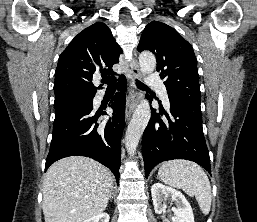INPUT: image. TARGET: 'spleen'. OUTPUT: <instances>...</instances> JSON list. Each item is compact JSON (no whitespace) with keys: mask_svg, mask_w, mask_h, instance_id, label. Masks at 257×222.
<instances>
[{"mask_svg":"<svg viewBox=\"0 0 257 222\" xmlns=\"http://www.w3.org/2000/svg\"><path fill=\"white\" fill-rule=\"evenodd\" d=\"M159 178L167 185L195 196L204 215L211 209L212 193L209 179L196 163L185 160L167 161L158 170Z\"/></svg>","mask_w":257,"mask_h":222,"instance_id":"1","label":"spleen"}]
</instances>
